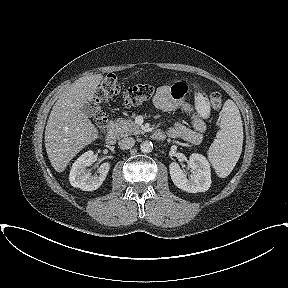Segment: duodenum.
<instances>
[{
	"label": "duodenum",
	"mask_w": 288,
	"mask_h": 288,
	"mask_svg": "<svg viewBox=\"0 0 288 288\" xmlns=\"http://www.w3.org/2000/svg\"><path fill=\"white\" fill-rule=\"evenodd\" d=\"M153 138L158 141H163L166 138V133L162 130H157L153 134ZM117 141V128L114 122H109L107 126L106 143L114 145Z\"/></svg>",
	"instance_id": "duodenum-1"
}]
</instances>
